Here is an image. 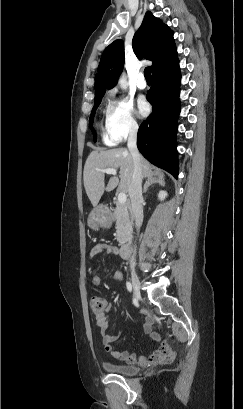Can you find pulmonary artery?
<instances>
[{"instance_id": "pulmonary-artery-1", "label": "pulmonary artery", "mask_w": 243, "mask_h": 409, "mask_svg": "<svg viewBox=\"0 0 243 409\" xmlns=\"http://www.w3.org/2000/svg\"><path fill=\"white\" fill-rule=\"evenodd\" d=\"M136 85L141 90H143V89H145L147 87L146 81L144 79V75L142 73L139 74Z\"/></svg>"}]
</instances>
